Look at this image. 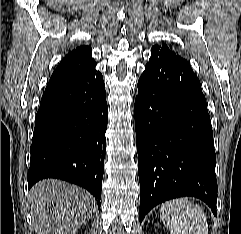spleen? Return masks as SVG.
Listing matches in <instances>:
<instances>
[{"mask_svg":"<svg viewBox=\"0 0 241 234\" xmlns=\"http://www.w3.org/2000/svg\"><path fill=\"white\" fill-rule=\"evenodd\" d=\"M160 218L171 234H208V223L204 211L187 198L163 203Z\"/></svg>","mask_w":241,"mask_h":234,"instance_id":"3e777b00","label":"spleen"}]
</instances>
